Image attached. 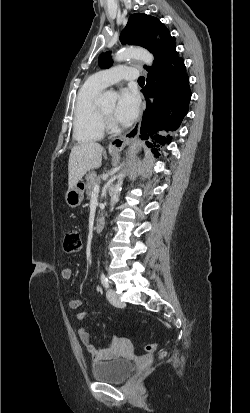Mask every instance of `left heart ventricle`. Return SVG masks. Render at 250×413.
Instances as JSON below:
<instances>
[{
	"label": "left heart ventricle",
	"mask_w": 250,
	"mask_h": 413,
	"mask_svg": "<svg viewBox=\"0 0 250 413\" xmlns=\"http://www.w3.org/2000/svg\"><path fill=\"white\" fill-rule=\"evenodd\" d=\"M103 110L108 114H113L114 112V105L103 107Z\"/></svg>",
	"instance_id": "left-heart-ventricle-1"
}]
</instances>
